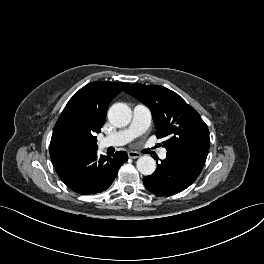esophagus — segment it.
Instances as JSON below:
<instances>
[{
	"mask_svg": "<svg viewBox=\"0 0 264 264\" xmlns=\"http://www.w3.org/2000/svg\"><path fill=\"white\" fill-rule=\"evenodd\" d=\"M128 156L132 159H136V158H139L141 154L135 151H129Z\"/></svg>",
	"mask_w": 264,
	"mask_h": 264,
	"instance_id": "obj_1",
	"label": "esophagus"
}]
</instances>
